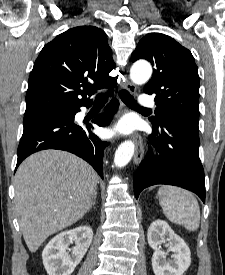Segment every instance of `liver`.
<instances>
[{"mask_svg":"<svg viewBox=\"0 0 225 275\" xmlns=\"http://www.w3.org/2000/svg\"><path fill=\"white\" fill-rule=\"evenodd\" d=\"M97 183L95 170L69 152L44 150L21 163L15 174V206L30 252L86 214Z\"/></svg>","mask_w":225,"mask_h":275,"instance_id":"liver-1","label":"liver"}]
</instances>
